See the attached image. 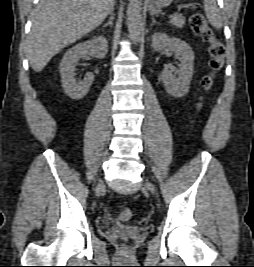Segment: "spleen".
Here are the masks:
<instances>
[{
    "label": "spleen",
    "instance_id": "3e777b00",
    "mask_svg": "<svg viewBox=\"0 0 254 267\" xmlns=\"http://www.w3.org/2000/svg\"><path fill=\"white\" fill-rule=\"evenodd\" d=\"M204 10L209 23L215 28L222 27V17L215 0H203Z\"/></svg>",
    "mask_w": 254,
    "mask_h": 267
}]
</instances>
